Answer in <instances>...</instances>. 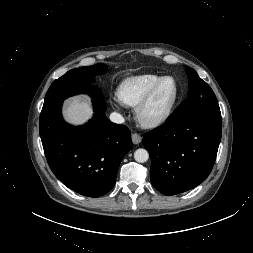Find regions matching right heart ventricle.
Returning a JSON list of instances; mask_svg holds the SVG:
<instances>
[{"instance_id": "right-heart-ventricle-1", "label": "right heart ventricle", "mask_w": 253, "mask_h": 253, "mask_svg": "<svg viewBox=\"0 0 253 253\" xmlns=\"http://www.w3.org/2000/svg\"><path fill=\"white\" fill-rule=\"evenodd\" d=\"M161 78L156 74L128 77L119 84L117 97L123 105L136 107Z\"/></svg>"}]
</instances>
